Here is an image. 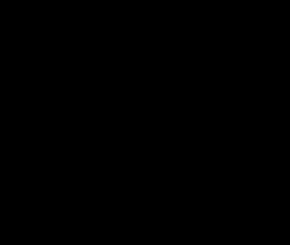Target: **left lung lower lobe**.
I'll list each match as a JSON object with an SVG mask.
<instances>
[{
    "instance_id": "1",
    "label": "left lung lower lobe",
    "mask_w": 290,
    "mask_h": 245,
    "mask_svg": "<svg viewBox=\"0 0 290 245\" xmlns=\"http://www.w3.org/2000/svg\"><path fill=\"white\" fill-rule=\"evenodd\" d=\"M249 122L247 121L245 134L242 136L240 141L236 144L234 150L223 157L222 159H219L217 162H214L207 171L205 172H196L188 169H183L180 167H177L170 163L161 153L159 150L160 160L161 164L164 168L167 170H170L171 172L178 174L182 177H185L187 179L196 180V179H204V178H211L218 174L224 167H226L228 164H230L239 154L241 148L243 147L244 142L247 138V130H248Z\"/></svg>"
}]
</instances>
